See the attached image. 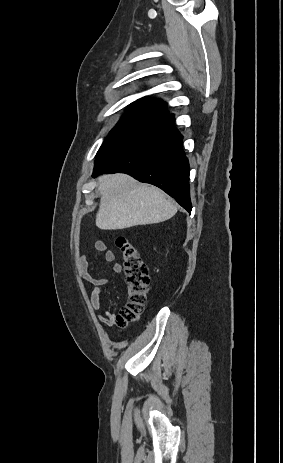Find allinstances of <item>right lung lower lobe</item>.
Instances as JSON below:
<instances>
[{"label":"right lung lower lobe","mask_w":283,"mask_h":463,"mask_svg":"<svg viewBox=\"0 0 283 463\" xmlns=\"http://www.w3.org/2000/svg\"><path fill=\"white\" fill-rule=\"evenodd\" d=\"M182 139L173 114L162 115L99 152L93 176L127 173L161 188L190 213L189 164Z\"/></svg>","instance_id":"obj_1"}]
</instances>
